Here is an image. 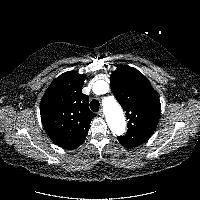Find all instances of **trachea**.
<instances>
[{"mask_svg": "<svg viewBox=\"0 0 200 200\" xmlns=\"http://www.w3.org/2000/svg\"><path fill=\"white\" fill-rule=\"evenodd\" d=\"M99 107H100V103H99V101L98 100H92L91 102H90V108H91V110L93 111V112H98V110H99Z\"/></svg>", "mask_w": 200, "mask_h": 200, "instance_id": "obj_1", "label": "trachea"}]
</instances>
